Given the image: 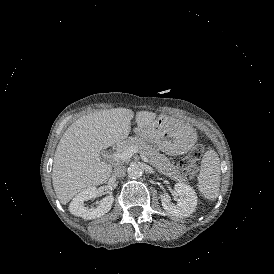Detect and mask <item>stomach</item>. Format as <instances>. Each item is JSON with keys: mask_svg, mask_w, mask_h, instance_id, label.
I'll list each match as a JSON object with an SVG mask.
<instances>
[{"mask_svg": "<svg viewBox=\"0 0 274 274\" xmlns=\"http://www.w3.org/2000/svg\"><path fill=\"white\" fill-rule=\"evenodd\" d=\"M196 130L167 115L158 118L141 135L165 154L178 156L196 143Z\"/></svg>", "mask_w": 274, "mask_h": 274, "instance_id": "obj_1", "label": "stomach"}]
</instances>
